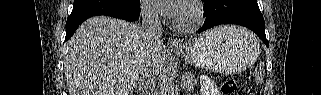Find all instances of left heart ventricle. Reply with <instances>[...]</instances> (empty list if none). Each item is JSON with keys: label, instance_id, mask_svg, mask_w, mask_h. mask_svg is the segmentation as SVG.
I'll use <instances>...</instances> for the list:
<instances>
[{"label": "left heart ventricle", "instance_id": "left-heart-ventricle-1", "mask_svg": "<svg viewBox=\"0 0 321 95\" xmlns=\"http://www.w3.org/2000/svg\"><path fill=\"white\" fill-rule=\"evenodd\" d=\"M178 21H180L182 24H187L191 20L190 14L184 9L183 12L176 17Z\"/></svg>", "mask_w": 321, "mask_h": 95}]
</instances>
